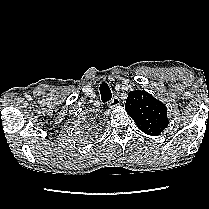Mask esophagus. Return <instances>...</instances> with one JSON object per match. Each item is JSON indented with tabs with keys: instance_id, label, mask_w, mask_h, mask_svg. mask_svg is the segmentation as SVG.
Instances as JSON below:
<instances>
[{
	"instance_id": "34e87169",
	"label": "esophagus",
	"mask_w": 209,
	"mask_h": 209,
	"mask_svg": "<svg viewBox=\"0 0 209 209\" xmlns=\"http://www.w3.org/2000/svg\"><path fill=\"white\" fill-rule=\"evenodd\" d=\"M110 108H114L120 105V100L117 97H113L111 101L108 103Z\"/></svg>"
}]
</instances>
